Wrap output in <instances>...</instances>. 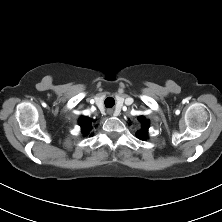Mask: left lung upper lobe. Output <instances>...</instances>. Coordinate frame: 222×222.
<instances>
[{
  "mask_svg": "<svg viewBox=\"0 0 222 222\" xmlns=\"http://www.w3.org/2000/svg\"><path fill=\"white\" fill-rule=\"evenodd\" d=\"M137 119L141 122L142 128L141 130L137 131L136 136L141 140H145L147 138L149 121L146 120L143 116H139Z\"/></svg>",
  "mask_w": 222,
  "mask_h": 222,
  "instance_id": "obj_1",
  "label": "left lung upper lobe"
}]
</instances>
